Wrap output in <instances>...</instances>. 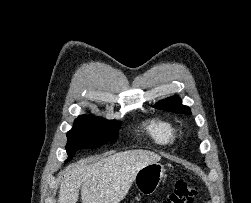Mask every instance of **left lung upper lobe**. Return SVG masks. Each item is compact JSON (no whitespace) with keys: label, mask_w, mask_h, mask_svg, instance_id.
Segmentation results:
<instances>
[{"label":"left lung upper lobe","mask_w":251,"mask_h":203,"mask_svg":"<svg viewBox=\"0 0 251 203\" xmlns=\"http://www.w3.org/2000/svg\"><path fill=\"white\" fill-rule=\"evenodd\" d=\"M156 108L171 111L177 114H191V110L187 106L182 105V101L178 96H172L166 100H162L155 105Z\"/></svg>","instance_id":"5c2ea615"}]
</instances>
